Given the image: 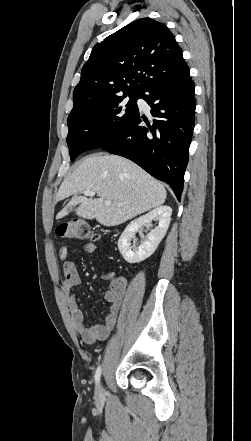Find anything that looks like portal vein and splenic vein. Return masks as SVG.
<instances>
[{
	"mask_svg": "<svg viewBox=\"0 0 251 441\" xmlns=\"http://www.w3.org/2000/svg\"><path fill=\"white\" fill-rule=\"evenodd\" d=\"M82 194L85 195V196L92 197V196H95L96 193L94 191H91V190H86V191H83ZM110 204H111L110 200H106L105 201V205H110Z\"/></svg>",
	"mask_w": 251,
	"mask_h": 441,
	"instance_id": "1",
	"label": "portal vein and splenic vein"
}]
</instances>
